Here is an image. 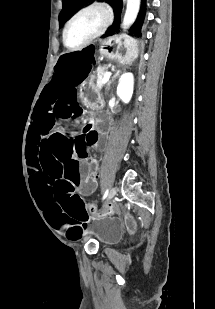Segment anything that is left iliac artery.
Listing matches in <instances>:
<instances>
[{
  "instance_id": "obj_1",
  "label": "left iliac artery",
  "mask_w": 215,
  "mask_h": 309,
  "mask_svg": "<svg viewBox=\"0 0 215 309\" xmlns=\"http://www.w3.org/2000/svg\"><path fill=\"white\" fill-rule=\"evenodd\" d=\"M108 193H109V188L105 190L104 195H103V200L108 196Z\"/></svg>"
}]
</instances>
